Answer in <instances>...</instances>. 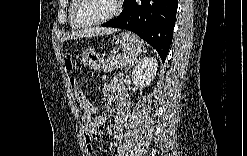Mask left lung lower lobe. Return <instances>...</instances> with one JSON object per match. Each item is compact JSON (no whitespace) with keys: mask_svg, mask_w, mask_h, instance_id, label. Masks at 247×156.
<instances>
[{"mask_svg":"<svg viewBox=\"0 0 247 156\" xmlns=\"http://www.w3.org/2000/svg\"><path fill=\"white\" fill-rule=\"evenodd\" d=\"M177 7V0H124L121 14L102 26L134 32L154 47L164 62L172 43Z\"/></svg>","mask_w":247,"mask_h":156,"instance_id":"1","label":"left lung lower lobe"}]
</instances>
